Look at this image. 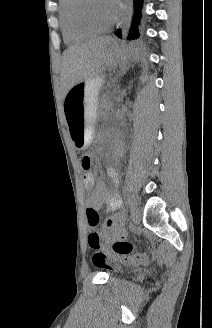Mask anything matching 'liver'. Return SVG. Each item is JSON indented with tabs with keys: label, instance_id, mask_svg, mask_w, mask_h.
<instances>
[{
	"label": "liver",
	"instance_id": "obj_1",
	"mask_svg": "<svg viewBox=\"0 0 212 328\" xmlns=\"http://www.w3.org/2000/svg\"><path fill=\"white\" fill-rule=\"evenodd\" d=\"M110 43L108 37H101L70 47L63 53L61 86L64 96L77 83L100 77Z\"/></svg>",
	"mask_w": 212,
	"mask_h": 328
}]
</instances>
